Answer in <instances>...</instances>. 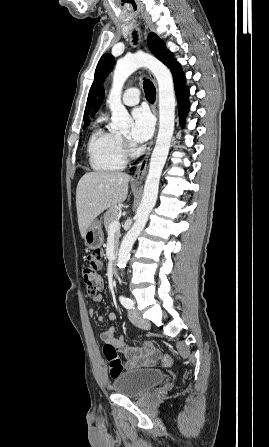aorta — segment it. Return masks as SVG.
Here are the masks:
<instances>
[{"label":"aorta","instance_id":"obj_1","mask_svg":"<svg viewBox=\"0 0 269 447\" xmlns=\"http://www.w3.org/2000/svg\"><path fill=\"white\" fill-rule=\"evenodd\" d=\"M139 68H148L154 74L158 82L159 90V130L155 148L152 152L149 172L146 178L143 198L136 212V220L131 229L127 231L119 249L118 265L125 267L132 245L136 241L139 233L144 229L148 222V216L154 208L158 196L160 176L165 166L169 154L172 136L175 126V94L172 80V74L162 62L156 60L150 54H132L117 60L116 68L113 74L112 88L106 100L111 110L112 118L111 130H125L129 132L133 122L125 106H122L121 94L123 86L129 76L139 70Z\"/></svg>","mask_w":269,"mask_h":447}]
</instances>
